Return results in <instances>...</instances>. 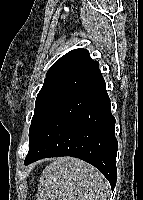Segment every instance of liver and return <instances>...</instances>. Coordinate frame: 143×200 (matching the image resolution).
Here are the masks:
<instances>
[{
    "mask_svg": "<svg viewBox=\"0 0 143 200\" xmlns=\"http://www.w3.org/2000/svg\"><path fill=\"white\" fill-rule=\"evenodd\" d=\"M109 183L98 169L73 158L54 159L43 170L37 200H107Z\"/></svg>",
    "mask_w": 143,
    "mask_h": 200,
    "instance_id": "obj_1",
    "label": "liver"
}]
</instances>
